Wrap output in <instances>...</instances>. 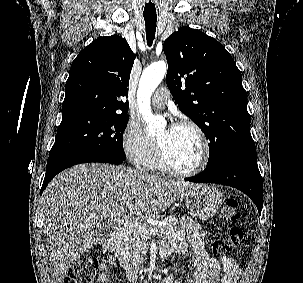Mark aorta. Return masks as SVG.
I'll list each match as a JSON object with an SVG mask.
<instances>
[{
  "label": "aorta",
  "mask_w": 303,
  "mask_h": 283,
  "mask_svg": "<svg viewBox=\"0 0 303 283\" xmlns=\"http://www.w3.org/2000/svg\"><path fill=\"white\" fill-rule=\"evenodd\" d=\"M167 71L165 62L160 61L148 66L142 73L137 91L139 111L147 123V133L153 135L161 128L165 121L163 118L153 115L151 111V96L163 80Z\"/></svg>",
  "instance_id": "aorta-1"
}]
</instances>
